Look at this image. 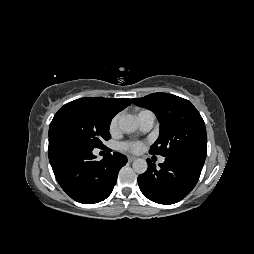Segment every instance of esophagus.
<instances>
[{"label": "esophagus", "mask_w": 254, "mask_h": 254, "mask_svg": "<svg viewBox=\"0 0 254 254\" xmlns=\"http://www.w3.org/2000/svg\"><path fill=\"white\" fill-rule=\"evenodd\" d=\"M127 159H128V162H132V161H134L136 159V157H134V156H128Z\"/></svg>", "instance_id": "34e87169"}]
</instances>
